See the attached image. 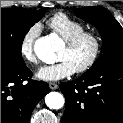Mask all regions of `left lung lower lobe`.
<instances>
[{"label":"left lung lower lobe","instance_id":"0a47b994","mask_svg":"<svg viewBox=\"0 0 123 123\" xmlns=\"http://www.w3.org/2000/svg\"><path fill=\"white\" fill-rule=\"evenodd\" d=\"M60 88L62 123H123V60L102 64Z\"/></svg>","mask_w":123,"mask_h":123}]
</instances>
